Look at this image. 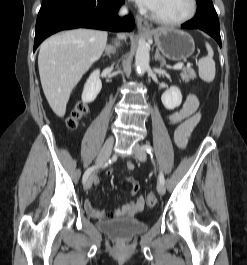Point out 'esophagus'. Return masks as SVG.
<instances>
[{"instance_id":"obj_1","label":"esophagus","mask_w":247,"mask_h":265,"mask_svg":"<svg viewBox=\"0 0 247 265\" xmlns=\"http://www.w3.org/2000/svg\"><path fill=\"white\" fill-rule=\"evenodd\" d=\"M136 22H137V27L140 31L142 32L150 31L149 23L145 19H143L141 16L139 15L136 16Z\"/></svg>"}]
</instances>
